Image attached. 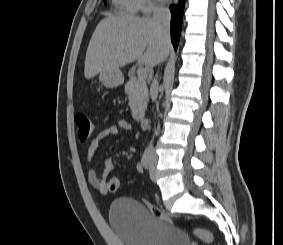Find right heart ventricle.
<instances>
[{
	"label": "right heart ventricle",
	"instance_id": "right-heart-ventricle-1",
	"mask_svg": "<svg viewBox=\"0 0 283 245\" xmlns=\"http://www.w3.org/2000/svg\"><path fill=\"white\" fill-rule=\"evenodd\" d=\"M115 8L125 14H136L139 10L137 0H112Z\"/></svg>",
	"mask_w": 283,
	"mask_h": 245
}]
</instances>
